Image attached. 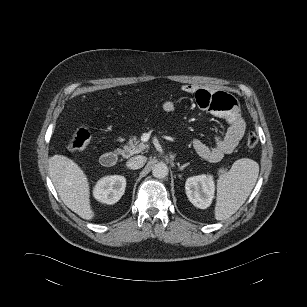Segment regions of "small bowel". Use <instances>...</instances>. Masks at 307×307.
<instances>
[{"mask_svg": "<svg viewBox=\"0 0 307 307\" xmlns=\"http://www.w3.org/2000/svg\"><path fill=\"white\" fill-rule=\"evenodd\" d=\"M182 91L194 95L201 108L210 110L214 116L225 120L228 124L226 132L223 135H218L212 146L197 139L193 140L192 146L197 154L207 161L217 162L224 155L232 153L246 129L245 121L234 97L222 91L210 92L195 84L183 85ZM162 110L167 114L173 113L176 110L175 101L165 100L162 103Z\"/></svg>", "mask_w": 307, "mask_h": 307, "instance_id": "c3829d8e", "label": "small bowel"}]
</instances>
